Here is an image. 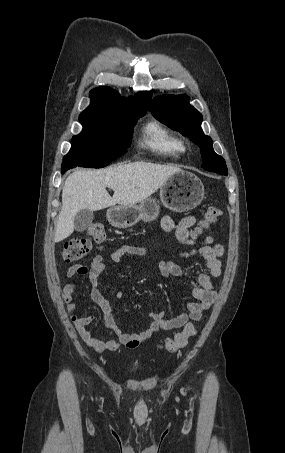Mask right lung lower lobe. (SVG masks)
<instances>
[{
    "instance_id": "98d812e1",
    "label": "right lung lower lobe",
    "mask_w": 285,
    "mask_h": 453,
    "mask_svg": "<svg viewBox=\"0 0 285 453\" xmlns=\"http://www.w3.org/2000/svg\"><path fill=\"white\" fill-rule=\"evenodd\" d=\"M68 169H70V166H63V165H62V168H61L62 173H64V172H65L66 170H68Z\"/></svg>"
}]
</instances>
